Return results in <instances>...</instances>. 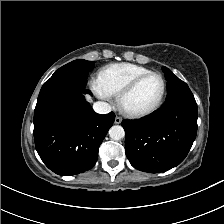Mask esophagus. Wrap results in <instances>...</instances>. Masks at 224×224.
I'll list each match as a JSON object with an SVG mask.
<instances>
[{
  "mask_svg": "<svg viewBox=\"0 0 224 224\" xmlns=\"http://www.w3.org/2000/svg\"><path fill=\"white\" fill-rule=\"evenodd\" d=\"M114 122H115V124H120L122 122V118L119 116H116Z\"/></svg>",
  "mask_w": 224,
  "mask_h": 224,
  "instance_id": "34e87169",
  "label": "esophagus"
}]
</instances>
